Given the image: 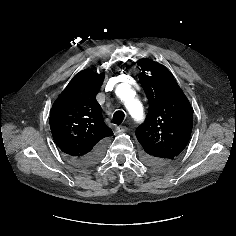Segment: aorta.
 <instances>
[{
	"mask_svg": "<svg viewBox=\"0 0 236 236\" xmlns=\"http://www.w3.org/2000/svg\"><path fill=\"white\" fill-rule=\"evenodd\" d=\"M130 93L131 89L126 84L120 85L117 89V94L125 101L126 108L131 117L135 121L141 122L144 119L143 106L138 100L128 98Z\"/></svg>",
	"mask_w": 236,
	"mask_h": 236,
	"instance_id": "1",
	"label": "aorta"
}]
</instances>
